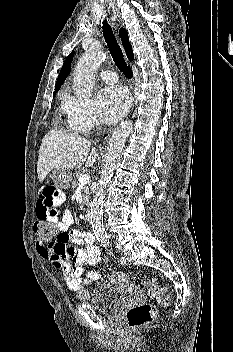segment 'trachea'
Wrapping results in <instances>:
<instances>
[{
  "mask_svg": "<svg viewBox=\"0 0 233 352\" xmlns=\"http://www.w3.org/2000/svg\"><path fill=\"white\" fill-rule=\"evenodd\" d=\"M103 36L109 48L110 54L113 58V61L117 65V67L123 72V74L131 79L133 77L132 70L127 66L122 50L118 45L116 38L113 34L111 26L107 23L106 19L103 21Z\"/></svg>",
  "mask_w": 233,
  "mask_h": 352,
  "instance_id": "1",
  "label": "trachea"
}]
</instances>
